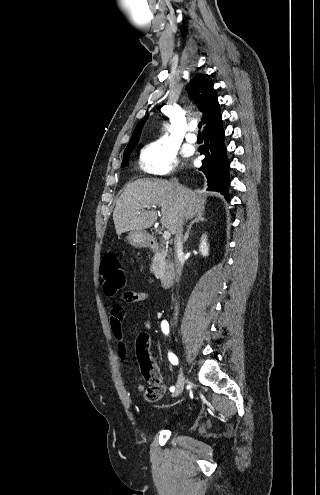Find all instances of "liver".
<instances>
[{
  "instance_id": "obj_1",
  "label": "liver",
  "mask_w": 320,
  "mask_h": 495,
  "mask_svg": "<svg viewBox=\"0 0 320 495\" xmlns=\"http://www.w3.org/2000/svg\"><path fill=\"white\" fill-rule=\"evenodd\" d=\"M206 200V196L180 185L177 189L166 180L138 179L126 186L116 203L113 212L116 233L150 228L157 220V213L146 209L160 207L161 224L175 234L180 219H191L203 211Z\"/></svg>"
}]
</instances>
